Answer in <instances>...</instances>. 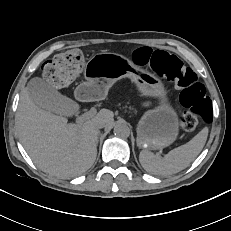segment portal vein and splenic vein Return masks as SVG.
I'll use <instances>...</instances> for the list:
<instances>
[{"mask_svg": "<svg viewBox=\"0 0 231 231\" xmlns=\"http://www.w3.org/2000/svg\"><path fill=\"white\" fill-rule=\"evenodd\" d=\"M95 115H96V109L95 108H91L88 112L83 113L82 115H80L78 117L77 121L78 122H83V121H85V120H87V119H89V118H91V117H93Z\"/></svg>", "mask_w": 231, "mask_h": 231, "instance_id": "1", "label": "portal vein and splenic vein"}]
</instances>
